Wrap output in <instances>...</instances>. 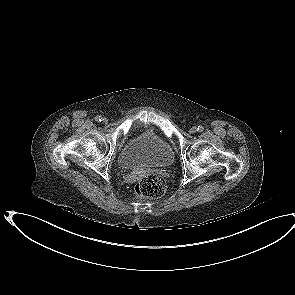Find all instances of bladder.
I'll list each match as a JSON object with an SVG mask.
<instances>
[{"instance_id": "obj_1", "label": "bladder", "mask_w": 295, "mask_h": 295, "mask_svg": "<svg viewBox=\"0 0 295 295\" xmlns=\"http://www.w3.org/2000/svg\"><path fill=\"white\" fill-rule=\"evenodd\" d=\"M173 161L171 145L153 130L132 137L119 153V163L125 169L168 167Z\"/></svg>"}]
</instances>
